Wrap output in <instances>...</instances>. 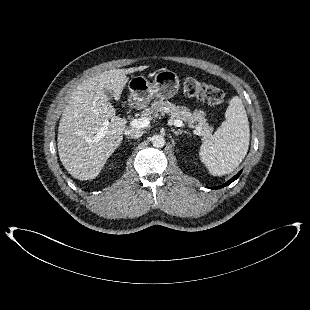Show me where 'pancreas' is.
Listing matches in <instances>:
<instances>
[{"mask_svg": "<svg viewBox=\"0 0 310 310\" xmlns=\"http://www.w3.org/2000/svg\"><path fill=\"white\" fill-rule=\"evenodd\" d=\"M168 114L170 121L180 120L185 122L189 126L197 124V131L204 137V139L211 137L213 128L209 126L206 114L203 111L195 110L191 112L189 108L185 106H176L169 101L155 100L150 107H145L141 112V116L144 118L154 119L160 115L164 116Z\"/></svg>", "mask_w": 310, "mask_h": 310, "instance_id": "pancreas-1", "label": "pancreas"}]
</instances>
